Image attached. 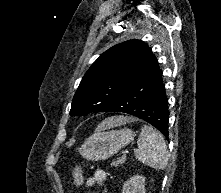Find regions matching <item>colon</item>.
I'll return each mask as SVG.
<instances>
[{"mask_svg":"<svg viewBox=\"0 0 221 193\" xmlns=\"http://www.w3.org/2000/svg\"><path fill=\"white\" fill-rule=\"evenodd\" d=\"M73 179H74V185L76 187L81 186L83 180V174H82V167L80 165H77L74 168Z\"/></svg>","mask_w":221,"mask_h":193,"instance_id":"5ec220e1","label":"colon"}]
</instances>
